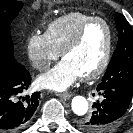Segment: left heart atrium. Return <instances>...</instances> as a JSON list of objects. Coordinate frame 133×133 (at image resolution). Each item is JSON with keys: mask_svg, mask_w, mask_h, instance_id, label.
<instances>
[{"mask_svg": "<svg viewBox=\"0 0 133 133\" xmlns=\"http://www.w3.org/2000/svg\"><path fill=\"white\" fill-rule=\"evenodd\" d=\"M80 77L78 71L67 60H62L48 72L40 75L37 84L52 91H64Z\"/></svg>", "mask_w": 133, "mask_h": 133, "instance_id": "39dd6f15", "label": "left heart atrium"}]
</instances>
